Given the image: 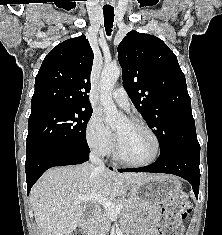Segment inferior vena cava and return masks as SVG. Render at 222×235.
<instances>
[{
	"instance_id": "inferior-vena-cava-1",
	"label": "inferior vena cava",
	"mask_w": 222,
	"mask_h": 235,
	"mask_svg": "<svg viewBox=\"0 0 222 235\" xmlns=\"http://www.w3.org/2000/svg\"><path fill=\"white\" fill-rule=\"evenodd\" d=\"M90 161L92 164L96 165L99 169H105L104 162L94 153L90 154Z\"/></svg>"
}]
</instances>
